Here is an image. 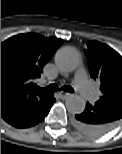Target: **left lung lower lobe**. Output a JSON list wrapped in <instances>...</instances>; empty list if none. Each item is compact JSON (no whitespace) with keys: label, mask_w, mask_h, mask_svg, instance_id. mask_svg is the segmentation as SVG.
Returning <instances> with one entry per match:
<instances>
[{"label":"left lung lower lobe","mask_w":122,"mask_h":154,"mask_svg":"<svg viewBox=\"0 0 122 154\" xmlns=\"http://www.w3.org/2000/svg\"><path fill=\"white\" fill-rule=\"evenodd\" d=\"M122 119V97L100 98L95 104L87 102L85 110L75 115L74 126L89 135L110 131Z\"/></svg>","instance_id":"obj_1"}]
</instances>
